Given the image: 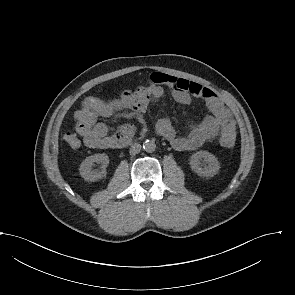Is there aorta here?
<instances>
[{"mask_svg": "<svg viewBox=\"0 0 295 295\" xmlns=\"http://www.w3.org/2000/svg\"><path fill=\"white\" fill-rule=\"evenodd\" d=\"M143 149L148 153H152L156 149V144L153 141L147 140L143 144Z\"/></svg>", "mask_w": 295, "mask_h": 295, "instance_id": "obj_1", "label": "aorta"}]
</instances>
